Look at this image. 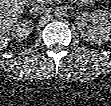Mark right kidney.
Returning a JSON list of instances; mask_svg holds the SVG:
<instances>
[{"label":"right kidney","mask_w":111,"mask_h":106,"mask_svg":"<svg viewBox=\"0 0 111 106\" xmlns=\"http://www.w3.org/2000/svg\"><path fill=\"white\" fill-rule=\"evenodd\" d=\"M33 30V23L31 20H22L13 26V38L24 40L29 36Z\"/></svg>","instance_id":"right-kidney-1"}]
</instances>
